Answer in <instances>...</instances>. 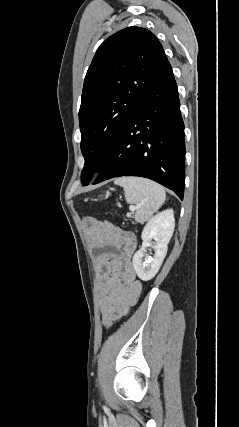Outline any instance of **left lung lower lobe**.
<instances>
[{
    "label": "left lung lower lobe",
    "instance_id": "0a47b994",
    "mask_svg": "<svg viewBox=\"0 0 239 427\" xmlns=\"http://www.w3.org/2000/svg\"><path fill=\"white\" fill-rule=\"evenodd\" d=\"M184 123L172 70L139 103L93 184L140 176L173 190L183 200Z\"/></svg>",
    "mask_w": 239,
    "mask_h": 427
}]
</instances>
